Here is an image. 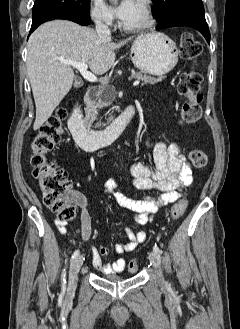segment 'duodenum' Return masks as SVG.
Instances as JSON below:
<instances>
[{
  "label": "duodenum",
  "mask_w": 240,
  "mask_h": 329,
  "mask_svg": "<svg viewBox=\"0 0 240 329\" xmlns=\"http://www.w3.org/2000/svg\"><path fill=\"white\" fill-rule=\"evenodd\" d=\"M136 112L134 105H129L111 124L101 130H94L85 123L78 102L72 104L69 117L70 132L85 151H92L110 144L128 126Z\"/></svg>",
  "instance_id": "duodenum-1"
}]
</instances>
